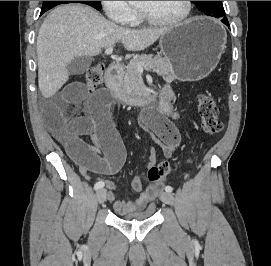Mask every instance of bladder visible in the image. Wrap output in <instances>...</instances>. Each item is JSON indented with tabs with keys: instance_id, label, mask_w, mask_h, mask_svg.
Listing matches in <instances>:
<instances>
[{
	"instance_id": "bladder-1",
	"label": "bladder",
	"mask_w": 271,
	"mask_h": 266,
	"mask_svg": "<svg viewBox=\"0 0 271 266\" xmlns=\"http://www.w3.org/2000/svg\"><path fill=\"white\" fill-rule=\"evenodd\" d=\"M153 207H150L146 211H140L130 215H116L118 218L125 221H143L153 217Z\"/></svg>"
}]
</instances>
